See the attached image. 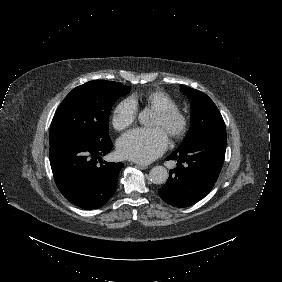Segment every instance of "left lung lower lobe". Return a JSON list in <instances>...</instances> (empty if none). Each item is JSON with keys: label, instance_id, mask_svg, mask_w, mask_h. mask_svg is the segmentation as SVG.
<instances>
[{"label": "left lung lower lobe", "instance_id": "obj_1", "mask_svg": "<svg viewBox=\"0 0 282 282\" xmlns=\"http://www.w3.org/2000/svg\"><path fill=\"white\" fill-rule=\"evenodd\" d=\"M226 142V131L209 133L168 156L167 160L178 159V165L170 170L166 184L158 190L160 197L178 208L189 207L204 198L221 171Z\"/></svg>", "mask_w": 282, "mask_h": 282}]
</instances>
